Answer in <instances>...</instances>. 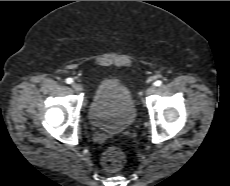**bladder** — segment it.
I'll return each mask as SVG.
<instances>
[{"label": "bladder", "mask_w": 230, "mask_h": 186, "mask_svg": "<svg viewBox=\"0 0 230 186\" xmlns=\"http://www.w3.org/2000/svg\"><path fill=\"white\" fill-rule=\"evenodd\" d=\"M130 92L114 80H104L96 88L88 111L91 125L108 133L129 129L136 120Z\"/></svg>", "instance_id": "31cf9c89"}]
</instances>
